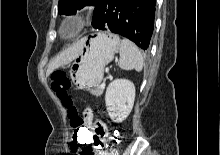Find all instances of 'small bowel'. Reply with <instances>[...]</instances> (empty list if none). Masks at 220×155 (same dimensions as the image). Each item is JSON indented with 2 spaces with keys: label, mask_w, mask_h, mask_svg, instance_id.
Wrapping results in <instances>:
<instances>
[{
  "label": "small bowel",
  "mask_w": 220,
  "mask_h": 155,
  "mask_svg": "<svg viewBox=\"0 0 220 155\" xmlns=\"http://www.w3.org/2000/svg\"><path fill=\"white\" fill-rule=\"evenodd\" d=\"M84 117L86 119V123H90V129H92V135H94L95 137V134H96V128L99 124H104L102 121H94L95 119V114H93V112L90 110V109H87L85 112H84ZM75 135V134H74ZM74 141V140H73ZM92 145V144H88V147ZM88 147H84V149L86 150V148Z\"/></svg>",
  "instance_id": "c3829d8e"
}]
</instances>
